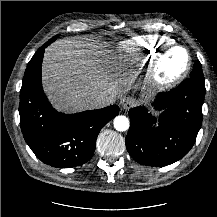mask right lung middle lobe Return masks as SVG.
Returning <instances> with one entry per match:
<instances>
[{
	"instance_id": "1",
	"label": "right lung middle lobe",
	"mask_w": 217,
	"mask_h": 217,
	"mask_svg": "<svg viewBox=\"0 0 217 217\" xmlns=\"http://www.w3.org/2000/svg\"><path fill=\"white\" fill-rule=\"evenodd\" d=\"M59 35H56V36H54L53 38H51L47 43H52V42H54L56 39H57V37H58Z\"/></svg>"
}]
</instances>
